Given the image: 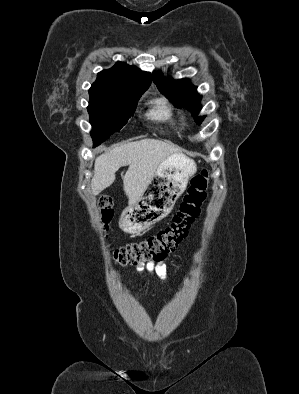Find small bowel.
<instances>
[{"instance_id": "small-bowel-1", "label": "small bowel", "mask_w": 299, "mask_h": 394, "mask_svg": "<svg viewBox=\"0 0 299 394\" xmlns=\"http://www.w3.org/2000/svg\"><path fill=\"white\" fill-rule=\"evenodd\" d=\"M138 273H150L154 274L161 279L167 277V265L165 261L160 262H148L146 264H141L136 267Z\"/></svg>"}]
</instances>
